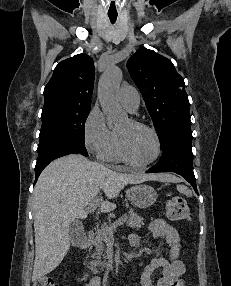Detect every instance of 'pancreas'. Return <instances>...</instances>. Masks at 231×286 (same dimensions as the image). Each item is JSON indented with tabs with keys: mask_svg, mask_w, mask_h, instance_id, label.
I'll use <instances>...</instances> for the list:
<instances>
[{
	"mask_svg": "<svg viewBox=\"0 0 231 286\" xmlns=\"http://www.w3.org/2000/svg\"><path fill=\"white\" fill-rule=\"evenodd\" d=\"M123 217L127 219V225L131 228L139 229L144 225L143 218L137 213L130 212L129 215H124ZM111 225L112 224L108 225L107 223L102 224L92 237V244L95 247V253H93L92 257L95 258V260L88 263V267L92 270H96L97 267L103 269L107 265V263L101 259L106 258L105 244L112 238V234L109 232Z\"/></svg>",
	"mask_w": 231,
	"mask_h": 286,
	"instance_id": "pancreas-1",
	"label": "pancreas"
}]
</instances>
